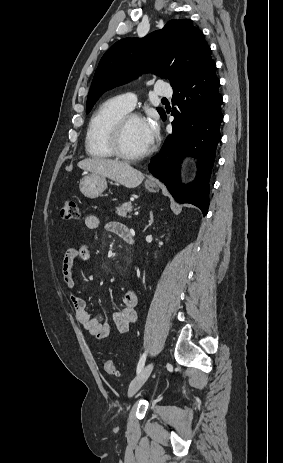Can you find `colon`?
I'll list each match as a JSON object with an SVG mask.
<instances>
[{"label":"colon","mask_w":283,"mask_h":463,"mask_svg":"<svg viewBox=\"0 0 283 463\" xmlns=\"http://www.w3.org/2000/svg\"><path fill=\"white\" fill-rule=\"evenodd\" d=\"M61 218L63 220H79L81 218V209L79 203L75 200H68L61 209ZM103 368L108 374H116V366L112 359L103 360Z\"/></svg>","instance_id":"5ec220e1"}]
</instances>
